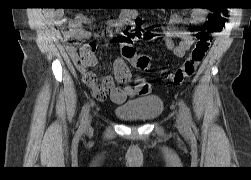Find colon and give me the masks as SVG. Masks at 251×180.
I'll return each instance as SVG.
<instances>
[{
	"label": "colon",
	"mask_w": 251,
	"mask_h": 180,
	"mask_svg": "<svg viewBox=\"0 0 251 180\" xmlns=\"http://www.w3.org/2000/svg\"><path fill=\"white\" fill-rule=\"evenodd\" d=\"M224 21L225 15L223 13L217 10L212 11L208 17L206 27L197 32L196 42L189 56L176 70L166 74L164 79L175 85H180L190 79L210 48L212 33L218 31ZM155 38V33L143 27L135 26L127 29L118 37L122 57L131 61L138 69L146 70L150 64L149 58L137 54L134 44L138 40H153Z\"/></svg>",
	"instance_id": "obj_1"
}]
</instances>
